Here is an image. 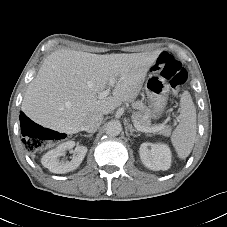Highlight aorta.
Returning a JSON list of instances; mask_svg holds the SVG:
<instances>
[{"mask_svg": "<svg viewBox=\"0 0 227 227\" xmlns=\"http://www.w3.org/2000/svg\"><path fill=\"white\" fill-rule=\"evenodd\" d=\"M122 131V125L119 121H109L105 126V132L109 136H118Z\"/></svg>", "mask_w": 227, "mask_h": 227, "instance_id": "1", "label": "aorta"}]
</instances>
